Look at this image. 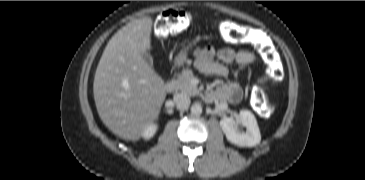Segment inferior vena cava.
<instances>
[{
    "label": "inferior vena cava",
    "instance_id": "1",
    "mask_svg": "<svg viewBox=\"0 0 365 180\" xmlns=\"http://www.w3.org/2000/svg\"><path fill=\"white\" fill-rule=\"evenodd\" d=\"M173 101L179 110L188 109V107L191 103L190 98L186 94H183V93L175 94L173 96Z\"/></svg>",
    "mask_w": 365,
    "mask_h": 180
}]
</instances>
